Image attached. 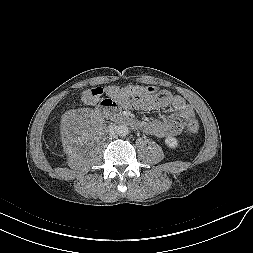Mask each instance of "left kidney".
I'll return each mask as SVG.
<instances>
[{
    "instance_id": "1",
    "label": "left kidney",
    "mask_w": 253,
    "mask_h": 253,
    "mask_svg": "<svg viewBox=\"0 0 253 253\" xmlns=\"http://www.w3.org/2000/svg\"><path fill=\"white\" fill-rule=\"evenodd\" d=\"M165 144L169 148H176L178 146V140L174 137H168L165 139Z\"/></svg>"
}]
</instances>
